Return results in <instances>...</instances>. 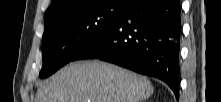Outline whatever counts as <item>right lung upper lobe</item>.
Returning a JSON list of instances; mask_svg holds the SVG:
<instances>
[{
  "instance_id": "cb5924a9",
  "label": "right lung upper lobe",
  "mask_w": 221,
  "mask_h": 102,
  "mask_svg": "<svg viewBox=\"0 0 221 102\" xmlns=\"http://www.w3.org/2000/svg\"><path fill=\"white\" fill-rule=\"evenodd\" d=\"M81 1L84 0H51V5L45 13L44 20H47L55 14L59 13L60 11H63L71 7L74 3H78ZM130 1L132 2L133 0Z\"/></svg>"
}]
</instances>
